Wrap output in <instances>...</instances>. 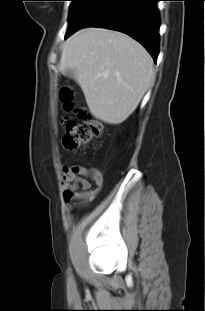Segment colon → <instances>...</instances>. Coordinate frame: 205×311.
<instances>
[{
  "label": "colon",
  "instance_id": "1",
  "mask_svg": "<svg viewBox=\"0 0 205 311\" xmlns=\"http://www.w3.org/2000/svg\"><path fill=\"white\" fill-rule=\"evenodd\" d=\"M60 96L65 103V108L73 111L78 117V121L70 117L63 120L65 130L63 146L67 150H78L93 139L103 135L104 127L102 122L96 119L87 109L73 104V93L70 89H63Z\"/></svg>",
  "mask_w": 205,
  "mask_h": 311
}]
</instances>
